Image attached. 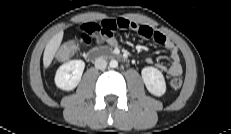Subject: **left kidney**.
Instances as JSON below:
<instances>
[{"label": "left kidney", "mask_w": 231, "mask_h": 134, "mask_svg": "<svg viewBox=\"0 0 231 134\" xmlns=\"http://www.w3.org/2000/svg\"><path fill=\"white\" fill-rule=\"evenodd\" d=\"M147 90L155 95L162 96L166 92V83L163 74L154 67H145L141 71Z\"/></svg>", "instance_id": "left-kidney-1"}]
</instances>
